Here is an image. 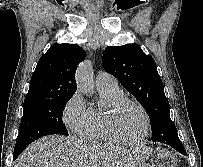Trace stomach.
Returning a JSON list of instances; mask_svg holds the SVG:
<instances>
[{"label":"stomach","instance_id":"0dacf381","mask_svg":"<svg viewBox=\"0 0 203 167\" xmlns=\"http://www.w3.org/2000/svg\"><path fill=\"white\" fill-rule=\"evenodd\" d=\"M136 167H151V166L144 164V163H141V164L137 165Z\"/></svg>","mask_w":203,"mask_h":167}]
</instances>
